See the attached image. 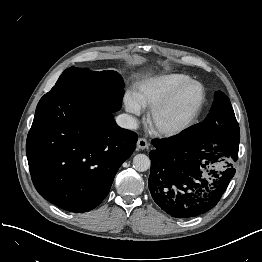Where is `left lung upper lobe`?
I'll use <instances>...</instances> for the list:
<instances>
[{
	"instance_id": "obj_1",
	"label": "left lung upper lobe",
	"mask_w": 262,
	"mask_h": 262,
	"mask_svg": "<svg viewBox=\"0 0 262 262\" xmlns=\"http://www.w3.org/2000/svg\"><path fill=\"white\" fill-rule=\"evenodd\" d=\"M239 133V125L235 118L229 98L221 91L215 92L214 102L206 119L190 127L182 134L196 137L220 135L223 132Z\"/></svg>"
}]
</instances>
